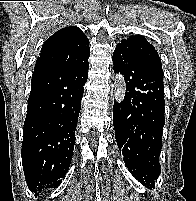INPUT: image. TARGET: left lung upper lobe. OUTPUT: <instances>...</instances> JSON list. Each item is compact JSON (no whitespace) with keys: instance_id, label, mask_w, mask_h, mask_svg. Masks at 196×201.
I'll use <instances>...</instances> for the list:
<instances>
[{"instance_id":"left-lung-upper-lobe-1","label":"left lung upper lobe","mask_w":196,"mask_h":201,"mask_svg":"<svg viewBox=\"0 0 196 201\" xmlns=\"http://www.w3.org/2000/svg\"><path fill=\"white\" fill-rule=\"evenodd\" d=\"M120 44L128 47L138 57L161 67L157 51L142 35L130 36L127 39H123Z\"/></svg>"}]
</instances>
